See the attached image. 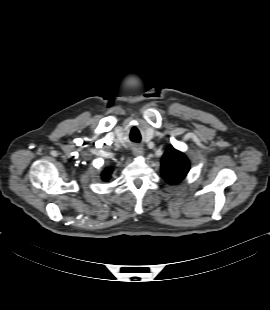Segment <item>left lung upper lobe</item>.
Masks as SVG:
<instances>
[{
  "label": "left lung upper lobe",
  "mask_w": 270,
  "mask_h": 310,
  "mask_svg": "<svg viewBox=\"0 0 270 310\" xmlns=\"http://www.w3.org/2000/svg\"><path fill=\"white\" fill-rule=\"evenodd\" d=\"M161 173L170 184H176L183 180L190 169V163L186 156L169 146L161 159Z\"/></svg>",
  "instance_id": "left-lung-upper-lobe-1"
}]
</instances>
